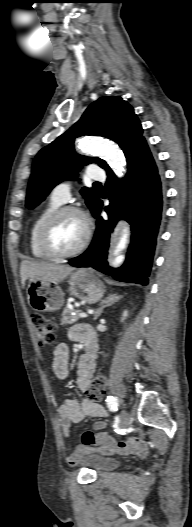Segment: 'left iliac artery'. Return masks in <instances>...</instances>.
Instances as JSON below:
<instances>
[{
    "instance_id": "1",
    "label": "left iliac artery",
    "mask_w": 192,
    "mask_h": 527,
    "mask_svg": "<svg viewBox=\"0 0 192 527\" xmlns=\"http://www.w3.org/2000/svg\"><path fill=\"white\" fill-rule=\"evenodd\" d=\"M106 402H107V405H108V408L110 409V411L112 412H115L118 410V399L117 397H114V396H108L106 398Z\"/></svg>"
}]
</instances>
